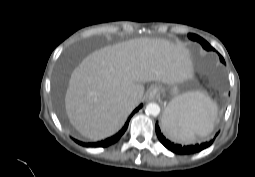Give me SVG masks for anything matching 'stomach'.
<instances>
[{
    "instance_id": "obj_1",
    "label": "stomach",
    "mask_w": 255,
    "mask_h": 177,
    "mask_svg": "<svg viewBox=\"0 0 255 177\" xmlns=\"http://www.w3.org/2000/svg\"><path fill=\"white\" fill-rule=\"evenodd\" d=\"M158 89H159L160 92H164V89H163L162 87L159 86ZM171 91H172V93H173L174 95H177V94H178V88H177V86L172 87ZM170 109H171V107H170V105H168L167 108H166V110H165V112H164L163 120L165 119V117H166L167 113L170 111ZM163 120H162V121H163Z\"/></svg>"
}]
</instances>
